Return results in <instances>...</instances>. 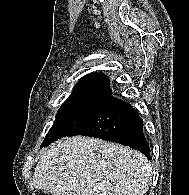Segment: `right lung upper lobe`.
Returning <instances> with one entry per match:
<instances>
[{"label": "right lung upper lobe", "instance_id": "cb5924a9", "mask_svg": "<svg viewBox=\"0 0 189 195\" xmlns=\"http://www.w3.org/2000/svg\"><path fill=\"white\" fill-rule=\"evenodd\" d=\"M73 92H89L111 95L109 79L100 73H91L84 76L75 85Z\"/></svg>", "mask_w": 189, "mask_h": 195}]
</instances>
